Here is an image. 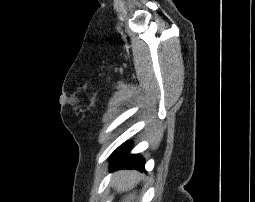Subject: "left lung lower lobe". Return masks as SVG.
I'll return each mask as SVG.
<instances>
[{
    "instance_id": "1",
    "label": "left lung lower lobe",
    "mask_w": 255,
    "mask_h": 202,
    "mask_svg": "<svg viewBox=\"0 0 255 202\" xmlns=\"http://www.w3.org/2000/svg\"><path fill=\"white\" fill-rule=\"evenodd\" d=\"M131 143L128 142L120 152L111 159L110 169H136L145 171V161L138 154L130 155Z\"/></svg>"
}]
</instances>
